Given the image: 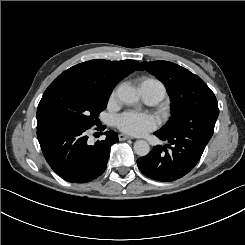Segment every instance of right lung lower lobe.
<instances>
[{
  "mask_svg": "<svg viewBox=\"0 0 245 245\" xmlns=\"http://www.w3.org/2000/svg\"><path fill=\"white\" fill-rule=\"evenodd\" d=\"M88 129L90 128L73 125L37 129V137L46 161L57 175L70 183H86L102 175L106 169L110 147L119 141L117 133L110 130L104 133L105 140L89 145L86 136Z\"/></svg>",
  "mask_w": 245,
  "mask_h": 245,
  "instance_id": "obj_1",
  "label": "right lung lower lobe"
}]
</instances>
